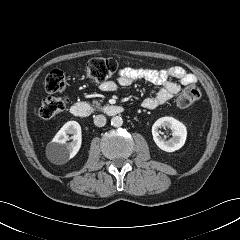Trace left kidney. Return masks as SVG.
Listing matches in <instances>:
<instances>
[{
	"label": "left kidney",
	"instance_id": "1",
	"mask_svg": "<svg viewBox=\"0 0 240 240\" xmlns=\"http://www.w3.org/2000/svg\"><path fill=\"white\" fill-rule=\"evenodd\" d=\"M167 127L172 131V138L164 140L160 136L159 128ZM152 135L156 145L163 151L174 152L179 150L186 141L187 128L186 126L173 117L159 118L152 126Z\"/></svg>",
	"mask_w": 240,
	"mask_h": 240
}]
</instances>
